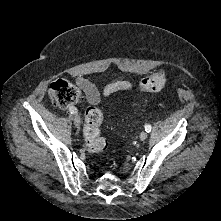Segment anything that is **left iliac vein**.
<instances>
[{"mask_svg":"<svg viewBox=\"0 0 221 221\" xmlns=\"http://www.w3.org/2000/svg\"><path fill=\"white\" fill-rule=\"evenodd\" d=\"M147 136H148L147 132L142 131V132L140 133V140H141V141L146 140Z\"/></svg>","mask_w":221,"mask_h":221,"instance_id":"left-iliac-vein-1","label":"left iliac vein"}]
</instances>
